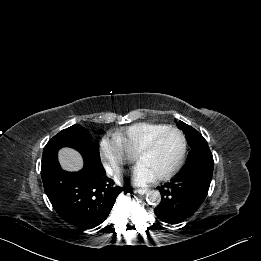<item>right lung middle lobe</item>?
Masks as SVG:
<instances>
[{
	"mask_svg": "<svg viewBox=\"0 0 261 261\" xmlns=\"http://www.w3.org/2000/svg\"><path fill=\"white\" fill-rule=\"evenodd\" d=\"M97 133H102L99 130ZM83 140L92 154L99 157V144L93 142L91 134L82 126L75 124L66 128L54 136L45 146L42 156V164H49L57 159V151L61 147H72L77 141Z\"/></svg>",
	"mask_w": 261,
	"mask_h": 261,
	"instance_id": "right-lung-middle-lobe-1",
	"label": "right lung middle lobe"
}]
</instances>
